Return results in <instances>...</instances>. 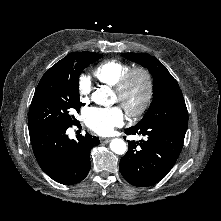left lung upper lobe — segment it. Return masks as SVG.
Returning a JSON list of instances; mask_svg holds the SVG:
<instances>
[{
  "instance_id": "5c2ea615",
  "label": "left lung upper lobe",
  "mask_w": 221,
  "mask_h": 221,
  "mask_svg": "<svg viewBox=\"0 0 221 221\" xmlns=\"http://www.w3.org/2000/svg\"><path fill=\"white\" fill-rule=\"evenodd\" d=\"M122 55L131 61L141 64L152 74L153 100L144 115L143 119L136 126H146L151 124H161L169 121L173 117L174 111L185 101L181 89L169 73L155 57L144 53H122Z\"/></svg>"
}]
</instances>
